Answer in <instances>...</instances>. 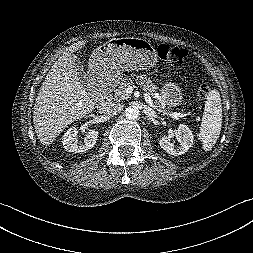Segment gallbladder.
<instances>
[{"label":"gallbladder","mask_w":253,"mask_h":253,"mask_svg":"<svg viewBox=\"0 0 253 253\" xmlns=\"http://www.w3.org/2000/svg\"><path fill=\"white\" fill-rule=\"evenodd\" d=\"M73 57H74V56H73ZM74 58H75V57H74ZM75 60H76V59H75ZM80 81H81L83 84H86L85 73H81Z\"/></svg>","instance_id":"1"}]
</instances>
